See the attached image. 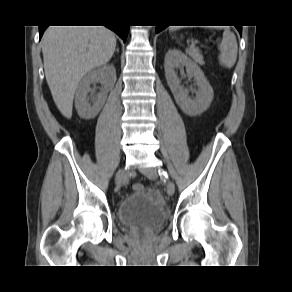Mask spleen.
I'll list each match as a JSON object with an SVG mask.
<instances>
[{
	"mask_svg": "<svg viewBox=\"0 0 292 292\" xmlns=\"http://www.w3.org/2000/svg\"><path fill=\"white\" fill-rule=\"evenodd\" d=\"M177 27H171L170 30H176ZM219 62L221 65H224L227 68H231L237 59V41L234 33L229 29H225L223 33V39L219 44Z\"/></svg>",
	"mask_w": 292,
	"mask_h": 292,
	"instance_id": "3e777b00",
	"label": "spleen"
}]
</instances>
